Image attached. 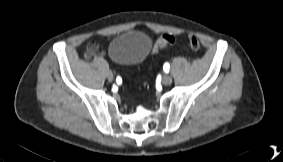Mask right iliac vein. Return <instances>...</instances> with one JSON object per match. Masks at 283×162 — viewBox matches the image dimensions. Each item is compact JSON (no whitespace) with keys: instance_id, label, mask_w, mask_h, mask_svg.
Segmentation results:
<instances>
[{"instance_id":"1","label":"right iliac vein","mask_w":283,"mask_h":162,"mask_svg":"<svg viewBox=\"0 0 283 162\" xmlns=\"http://www.w3.org/2000/svg\"><path fill=\"white\" fill-rule=\"evenodd\" d=\"M107 79H108V81H110V82L113 81L114 76H113L112 72L109 71V72L107 73Z\"/></svg>"}]
</instances>
